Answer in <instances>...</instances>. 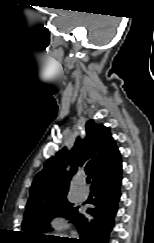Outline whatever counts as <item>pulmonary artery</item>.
Listing matches in <instances>:
<instances>
[{
    "mask_svg": "<svg viewBox=\"0 0 154 243\" xmlns=\"http://www.w3.org/2000/svg\"><path fill=\"white\" fill-rule=\"evenodd\" d=\"M77 196L80 200H85L88 197V191L85 188H78L77 189Z\"/></svg>",
    "mask_w": 154,
    "mask_h": 243,
    "instance_id": "pulmonary-artery-1",
    "label": "pulmonary artery"
}]
</instances>
